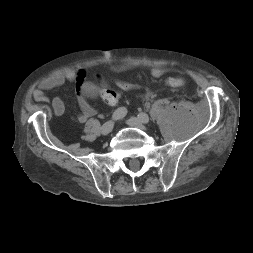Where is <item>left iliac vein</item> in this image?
<instances>
[{"instance_id":"1","label":"left iliac vein","mask_w":253,"mask_h":253,"mask_svg":"<svg viewBox=\"0 0 253 253\" xmlns=\"http://www.w3.org/2000/svg\"><path fill=\"white\" fill-rule=\"evenodd\" d=\"M146 120L149 122L150 118L149 116L146 118ZM146 122V123H148ZM127 124L132 126V127H136V128H139V129H145V122L141 121L140 119L136 118V117H130L128 120H127Z\"/></svg>"}]
</instances>
